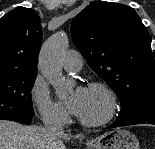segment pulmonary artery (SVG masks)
<instances>
[{
    "mask_svg": "<svg viewBox=\"0 0 155 149\" xmlns=\"http://www.w3.org/2000/svg\"><path fill=\"white\" fill-rule=\"evenodd\" d=\"M63 68L68 72H77L82 67V56L78 51H68L62 61Z\"/></svg>",
    "mask_w": 155,
    "mask_h": 149,
    "instance_id": "e3ab8cb5",
    "label": "pulmonary artery"
}]
</instances>
